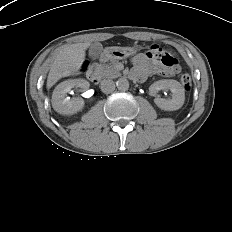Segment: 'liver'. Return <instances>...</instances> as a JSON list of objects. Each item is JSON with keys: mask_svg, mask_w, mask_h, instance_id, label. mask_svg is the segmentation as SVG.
Wrapping results in <instances>:
<instances>
[{"mask_svg": "<svg viewBox=\"0 0 232 232\" xmlns=\"http://www.w3.org/2000/svg\"><path fill=\"white\" fill-rule=\"evenodd\" d=\"M90 43L65 45L59 51L51 65L47 77V89H50L61 78L77 74L85 60V50Z\"/></svg>", "mask_w": 232, "mask_h": 232, "instance_id": "liver-1", "label": "liver"}]
</instances>
